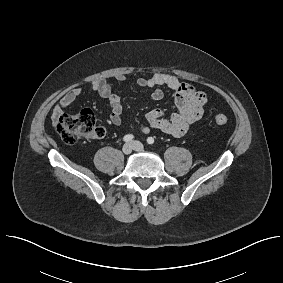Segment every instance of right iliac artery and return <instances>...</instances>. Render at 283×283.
I'll list each match as a JSON object with an SVG mask.
<instances>
[{
  "instance_id": "obj_1",
  "label": "right iliac artery",
  "mask_w": 283,
  "mask_h": 283,
  "mask_svg": "<svg viewBox=\"0 0 283 283\" xmlns=\"http://www.w3.org/2000/svg\"><path fill=\"white\" fill-rule=\"evenodd\" d=\"M133 138H134L133 135L128 134V135H125V136H124L123 140H124L125 142H129V141H131Z\"/></svg>"
}]
</instances>
